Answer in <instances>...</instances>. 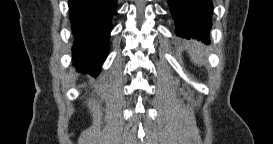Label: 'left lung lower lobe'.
<instances>
[{
    "mask_svg": "<svg viewBox=\"0 0 273 144\" xmlns=\"http://www.w3.org/2000/svg\"><path fill=\"white\" fill-rule=\"evenodd\" d=\"M177 36L209 42L212 0H168Z\"/></svg>",
    "mask_w": 273,
    "mask_h": 144,
    "instance_id": "left-lung-lower-lobe-1",
    "label": "left lung lower lobe"
}]
</instances>
